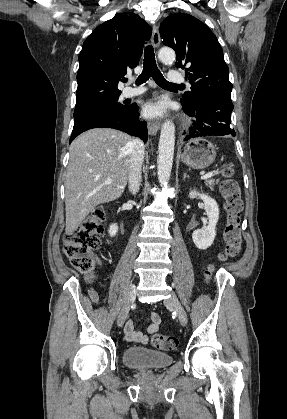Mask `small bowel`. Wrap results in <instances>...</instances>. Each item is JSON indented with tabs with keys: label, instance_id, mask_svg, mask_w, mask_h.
Instances as JSON below:
<instances>
[{
	"label": "small bowel",
	"instance_id": "1",
	"mask_svg": "<svg viewBox=\"0 0 287 419\" xmlns=\"http://www.w3.org/2000/svg\"><path fill=\"white\" fill-rule=\"evenodd\" d=\"M89 297L93 302L98 301V296L95 292H90ZM150 324L147 328L148 334H153L158 330V327L161 322V317L158 313H151L150 316ZM125 335L128 341L136 343V344H145L148 342L149 335L144 334L140 331L135 330L134 322L132 320L127 321L125 324Z\"/></svg>",
	"mask_w": 287,
	"mask_h": 419
}]
</instances>
